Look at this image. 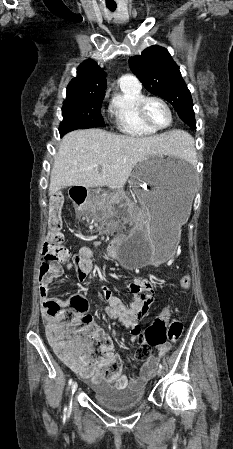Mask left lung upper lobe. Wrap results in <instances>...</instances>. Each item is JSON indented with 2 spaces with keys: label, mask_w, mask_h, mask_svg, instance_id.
I'll return each mask as SVG.
<instances>
[{
  "label": "left lung upper lobe",
  "mask_w": 233,
  "mask_h": 449,
  "mask_svg": "<svg viewBox=\"0 0 233 449\" xmlns=\"http://www.w3.org/2000/svg\"><path fill=\"white\" fill-rule=\"evenodd\" d=\"M129 66L148 91L167 100L186 124L196 128L190 91L167 49L150 46L131 57Z\"/></svg>",
  "instance_id": "5c2ea615"
}]
</instances>
